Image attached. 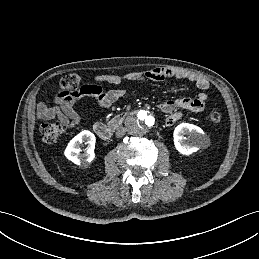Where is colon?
<instances>
[{"instance_id": "1", "label": "colon", "mask_w": 259, "mask_h": 259, "mask_svg": "<svg viewBox=\"0 0 259 259\" xmlns=\"http://www.w3.org/2000/svg\"><path fill=\"white\" fill-rule=\"evenodd\" d=\"M82 82V78L78 74H67L59 83L61 96H68L79 89ZM221 114L217 111H213L209 115V121L213 126L218 125L221 122ZM64 127L59 122H46L41 126V134L44 142L48 144L55 143L63 134Z\"/></svg>"}]
</instances>
